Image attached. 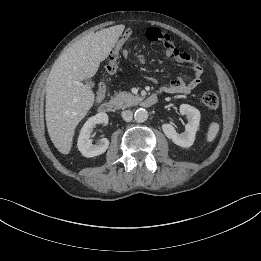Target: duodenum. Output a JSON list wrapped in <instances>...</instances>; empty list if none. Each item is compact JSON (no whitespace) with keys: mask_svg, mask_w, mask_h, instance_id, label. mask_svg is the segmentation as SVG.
<instances>
[{"mask_svg":"<svg viewBox=\"0 0 261 261\" xmlns=\"http://www.w3.org/2000/svg\"><path fill=\"white\" fill-rule=\"evenodd\" d=\"M158 101V95L157 94H152L148 97H146L143 101H142V105L144 107H152L154 106ZM116 104L112 101H104L100 107L99 110L102 113H112L116 110Z\"/></svg>","mask_w":261,"mask_h":261,"instance_id":"obj_1","label":"duodenum"}]
</instances>
